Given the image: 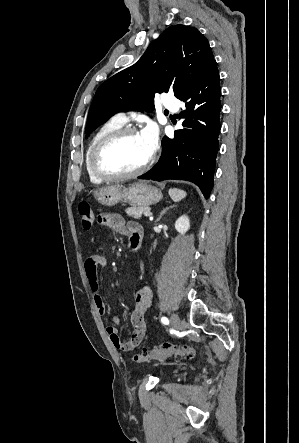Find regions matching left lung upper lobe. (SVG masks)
I'll use <instances>...</instances> for the list:
<instances>
[{
    "instance_id": "obj_1",
    "label": "left lung upper lobe",
    "mask_w": 299,
    "mask_h": 443,
    "mask_svg": "<svg viewBox=\"0 0 299 443\" xmlns=\"http://www.w3.org/2000/svg\"><path fill=\"white\" fill-rule=\"evenodd\" d=\"M214 60L207 39L184 25L167 28L134 65L118 72L97 90L85 133L121 111L154 110L155 93L174 91L181 98Z\"/></svg>"
}]
</instances>
